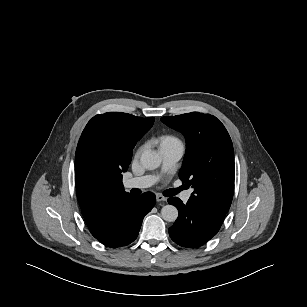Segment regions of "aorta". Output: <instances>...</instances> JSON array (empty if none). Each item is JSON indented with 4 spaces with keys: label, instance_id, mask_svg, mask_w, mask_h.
Instances as JSON below:
<instances>
[{
    "label": "aorta",
    "instance_id": "aorta-1",
    "mask_svg": "<svg viewBox=\"0 0 307 307\" xmlns=\"http://www.w3.org/2000/svg\"><path fill=\"white\" fill-rule=\"evenodd\" d=\"M140 162L144 168L148 170H153L160 166L161 157L156 151L145 150L141 154ZM161 217L165 221L174 222L178 217V210L173 205H165L161 209Z\"/></svg>",
    "mask_w": 307,
    "mask_h": 307
}]
</instances>
